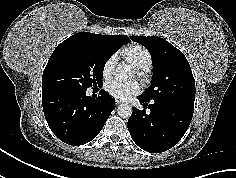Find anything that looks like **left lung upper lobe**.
Returning a JSON list of instances; mask_svg holds the SVG:
<instances>
[{
	"instance_id": "1",
	"label": "left lung upper lobe",
	"mask_w": 236,
	"mask_h": 178,
	"mask_svg": "<svg viewBox=\"0 0 236 178\" xmlns=\"http://www.w3.org/2000/svg\"><path fill=\"white\" fill-rule=\"evenodd\" d=\"M130 38L149 50L153 62L151 85L140 97L146 101L194 106L195 80L184 54L159 37Z\"/></svg>"
}]
</instances>
